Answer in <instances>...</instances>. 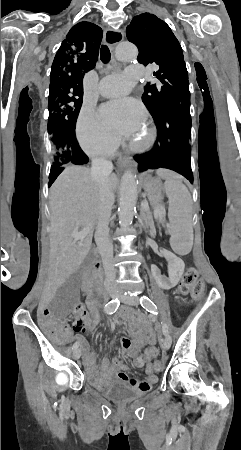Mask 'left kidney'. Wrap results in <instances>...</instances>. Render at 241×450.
Instances as JSON below:
<instances>
[{
    "label": "left kidney",
    "mask_w": 241,
    "mask_h": 450,
    "mask_svg": "<svg viewBox=\"0 0 241 450\" xmlns=\"http://www.w3.org/2000/svg\"><path fill=\"white\" fill-rule=\"evenodd\" d=\"M161 256L168 262L169 278L161 276L157 266H151L152 276L156 280L159 288H162V290H171V288L177 286L184 272L185 264L181 258H177L175 254L168 252V250H161Z\"/></svg>",
    "instance_id": "obj_1"
}]
</instances>
